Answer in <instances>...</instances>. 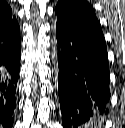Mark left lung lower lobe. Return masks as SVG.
Instances as JSON below:
<instances>
[{
  "label": "left lung lower lobe",
  "instance_id": "1",
  "mask_svg": "<svg viewBox=\"0 0 125 128\" xmlns=\"http://www.w3.org/2000/svg\"><path fill=\"white\" fill-rule=\"evenodd\" d=\"M58 93L64 128H83L108 113L107 47L102 34L56 23Z\"/></svg>",
  "mask_w": 125,
  "mask_h": 128
}]
</instances>
